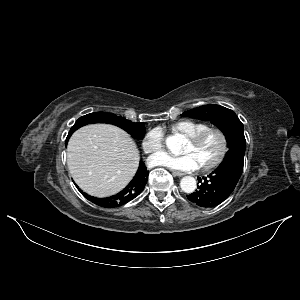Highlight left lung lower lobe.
Segmentation results:
<instances>
[{"mask_svg":"<svg viewBox=\"0 0 300 300\" xmlns=\"http://www.w3.org/2000/svg\"><path fill=\"white\" fill-rule=\"evenodd\" d=\"M244 158L229 156L207 177L198 178V190L187 198L194 204L211 208L226 200L233 192L243 171Z\"/></svg>","mask_w":300,"mask_h":300,"instance_id":"1","label":"left lung lower lobe"}]
</instances>
